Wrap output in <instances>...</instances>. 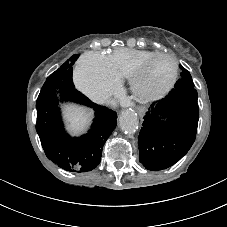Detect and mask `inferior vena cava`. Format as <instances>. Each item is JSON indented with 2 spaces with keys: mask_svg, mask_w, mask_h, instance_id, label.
<instances>
[{
  "mask_svg": "<svg viewBox=\"0 0 227 227\" xmlns=\"http://www.w3.org/2000/svg\"><path fill=\"white\" fill-rule=\"evenodd\" d=\"M91 99L96 103H104L108 99V96L97 92L91 96Z\"/></svg>",
  "mask_w": 227,
  "mask_h": 227,
  "instance_id": "inferior-vena-cava-1",
  "label": "inferior vena cava"
}]
</instances>
